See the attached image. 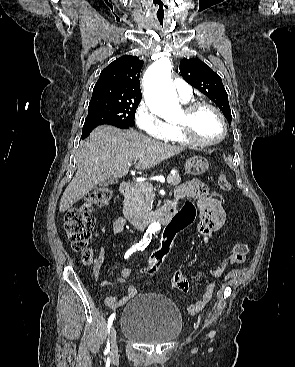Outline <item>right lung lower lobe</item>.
Wrapping results in <instances>:
<instances>
[{
    "label": "right lung lower lobe",
    "instance_id": "obj_1",
    "mask_svg": "<svg viewBox=\"0 0 295 367\" xmlns=\"http://www.w3.org/2000/svg\"><path fill=\"white\" fill-rule=\"evenodd\" d=\"M130 126H127V125H124V126H121V127H119V128H122V129H127V128H129ZM92 130H90V131H88L87 132V134L86 135H84V136H82L83 138H85V137H87L89 134H90V132H91Z\"/></svg>",
    "mask_w": 295,
    "mask_h": 367
}]
</instances>
